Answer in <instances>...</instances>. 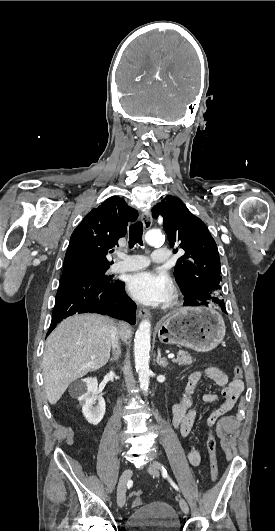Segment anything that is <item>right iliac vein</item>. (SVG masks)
Returning a JSON list of instances; mask_svg holds the SVG:
<instances>
[{"instance_id": "obj_1", "label": "right iliac vein", "mask_w": 275, "mask_h": 531, "mask_svg": "<svg viewBox=\"0 0 275 531\" xmlns=\"http://www.w3.org/2000/svg\"><path fill=\"white\" fill-rule=\"evenodd\" d=\"M133 474V471L130 468H127L123 471V473L120 476L118 486H117V504L119 507H123L126 502V486L129 480L131 479V476Z\"/></svg>"}]
</instances>
